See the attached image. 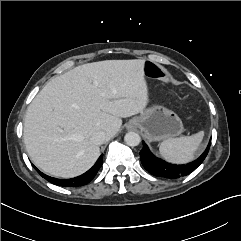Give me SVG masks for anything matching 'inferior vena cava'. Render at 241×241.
Listing matches in <instances>:
<instances>
[{
  "mask_svg": "<svg viewBox=\"0 0 241 241\" xmlns=\"http://www.w3.org/2000/svg\"><path fill=\"white\" fill-rule=\"evenodd\" d=\"M90 140L96 145H101L106 140V135L103 131H96L91 135Z\"/></svg>",
  "mask_w": 241,
  "mask_h": 241,
  "instance_id": "inferior-vena-cava-1",
  "label": "inferior vena cava"
}]
</instances>
